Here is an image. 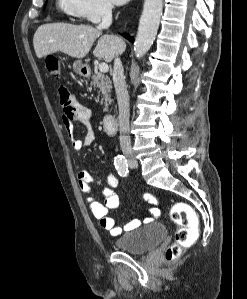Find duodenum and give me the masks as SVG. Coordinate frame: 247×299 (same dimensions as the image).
Masks as SVG:
<instances>
[{
    "instance_id": "obj_1",
    "label": "duodenum",
    "mask_w": 247,
    "mask_h": 299,
    "mask_svg": "<svg viewBox=\"0 0 247 299\" xmlns=\"http://www.w3.org/2000/svg\"><path fill=\"white\" fill-rule=\"evenodd\" d=\"M103 127L107 134H115L118 128L117 115L114 113L107 114L103 119Z\"/></svg>"
}]
</instances>
